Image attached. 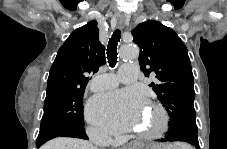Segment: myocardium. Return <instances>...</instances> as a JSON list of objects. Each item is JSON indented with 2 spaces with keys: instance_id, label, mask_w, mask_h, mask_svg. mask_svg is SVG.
Segmentation results:
<instances>
[{
  "instance_id": "myocardium-1",
  "label": "myocardium",
  "mask_w": 227,
  "mask_h": 149,
  "mask_svg": "<svg viewBox=\"0 0 227 149\" xmlns=\"http://www.w3.org/2000/svg\"><path fill=\"white\" fill-rule=\"evenodd\" d=\"M149 106L157 113L159 121L150 131L137 133V138L145 141L161 137L167 131L170 122L169 114L161 104L150 101Z\"/></svg>"
}]
</instances>
